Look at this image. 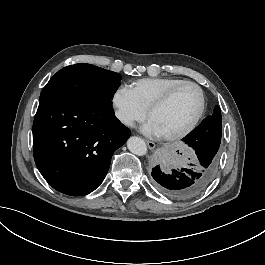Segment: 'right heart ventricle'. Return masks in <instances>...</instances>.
I'll use <instances>...</instances> for the list:
<instances>
[{
  "mask_svg": "<svg viewBox=\"0 0 265 265\" xmlns=\"http://www.w3.org/2000/svg\"><path fill=\"white\" fill-rule=\"evenodd\" d=\"M185 81L176 77L142 78L127 85L148 111L170 88Z\"/></svg>",
  "mask_w": 265,
  "mask_h": 265,
  "instance_id": "right-heart-ventricle-1",
  "label": "right heart ventricle"
}]
</instances>
